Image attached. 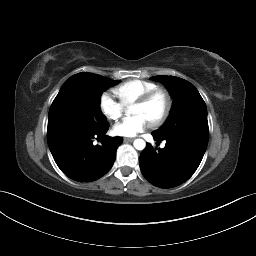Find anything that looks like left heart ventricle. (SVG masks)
<instances>
[{
	"instance_id": "obj_1",
	"label": "left heart ventricle",
	"mask_w": 256,
	"mask_h": 256,
	"mask_svg": "<svg viewBox=\"0 0 256 256\" xmlns=\"http://www.w3.org/2000/svg\"><path fill=\"white\" fill-rule=\"evenodd\" d=\"M165 107L164 98L161 96L156 97L151 103L148 105H134L133 115H143L149 121L156 119L163 112Z\"/></svg>"
}]
</instances>
